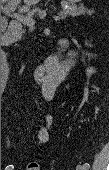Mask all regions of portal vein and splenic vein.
<instances>
[{"mask_svg": "<svg viewBox=\"0 0 109 170\" xmlns=\"http://www.w3.org/2000/svg\"><path fill=\"white\" fill-rule=\"evenodd\" d=\"M3 11L6 14L13 15L19 21H21L22 23H24L28 26L32 27L35 24V20L32 17L23 15L21 11H20V13H14V7H7ZM65 17L66 16H54L53 18H54L55 21H60L61 19H64Z\"/></svg>", "mask_w": 109, "mask_h": 170, "instance_id": "1", "label": "portal vein and splenic vein"}]
</instances>
